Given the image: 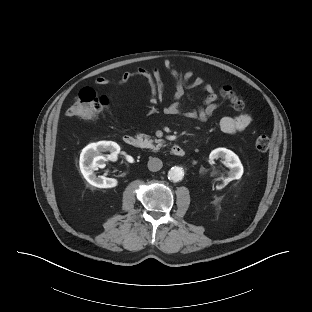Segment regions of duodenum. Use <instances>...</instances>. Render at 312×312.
Masks as SVG:
<instances>
[{"instance_id": "410a0bca", "label": "duodenum", "mask_w": 312, "mask_h": 312, "mask_svg": "<svg viewBox=\"0 0 312 312\" xmlns=\"http://www.w3.org/2000/svg\"><path fill=\"white\" fill-rule=\"evenodd\" d=\"M123 142L125 145L130 147H138L140 145V141L134 135H124ZM171 153L175 156L181 157L184 155L185 151L184 148L180 145H173L171 148Z\"/></svg>"}]
</instances>
